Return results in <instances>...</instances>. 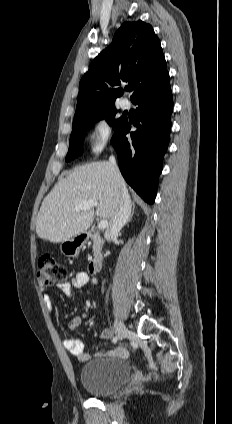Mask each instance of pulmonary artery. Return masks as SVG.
<instances>
[{
  "instance_id": "obj_1",
  "label": "pulmonary artery",
  "mask_w": 232,
  "mask_h": 424,
  "mask_svg": "<svg viewBox=\"0 0 232 424\" xmlns=\"http://www.w3.org/2000/svg\"><path fill=\"white\" fill-rule=\"evenodd\" d=\"M120 106L124 110L129 109L130 108V102L127 99H123L120 102Z\"/></svg>"
}]
</instances>
